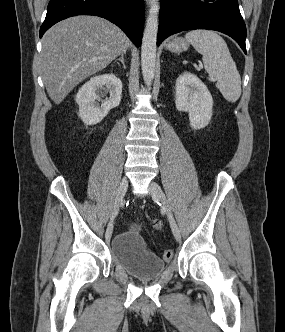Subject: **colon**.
Returning <instances> with one entry per match:
<instances>
[{
  "label": "colon",
  "mask_w": 285,
  "mask_h": 332,
  "mask_svg": "<svg viewBox=\"0 0 285 332\" xmlns=\"http://www.w3.org/2000/svg\"><path fill=\"white\" fill-rule=\"evenodd\" d=\"M153 224H154V227L156 229H159L161 227V224L159 221L157 220H154L153 221ZM163 258L166 260V261H170L172 258H173V251L171 249H167L165 250L164 254H163Z\"/></svg>",
  "instance_id": "obj_1"
}]
</instances>
